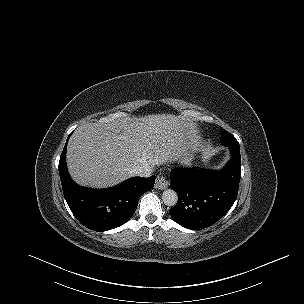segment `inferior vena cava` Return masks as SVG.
<instances>
[{"mask_svg":"<svg viewBox=\"0 0 304 304\" xmlns=\"http://www.w3.org/2000/svg\"><path fill=\"white\" fill-rule=\"evenodd\" d=\"M153 171H154V166L148 163H143L132 169L131 173L133 176L150 177Z\"/></svg>","mask_w":304,"mask_h":304,"instance_id":"inferior-vena-cava-1","label":"inferior vena cava"}]
</instances>
